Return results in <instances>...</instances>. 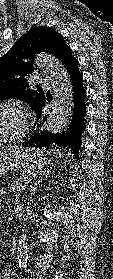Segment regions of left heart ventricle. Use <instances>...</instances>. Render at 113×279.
<instances>
[{"label": "left heart ventricle", "mask_w": 113, "mask_h": 279, "mask_svg": "<svg viewBox=\"0 0 113 279\" xmlns=\"http://www.w3.org/2000/svg\"><path fill=\"white\" fill-rule=\"evenodd\" d=\"M22 129V116L14 108H0V138L18 134Z\"/></svg>", "instance_id": "obj_1"}]
</instances>
